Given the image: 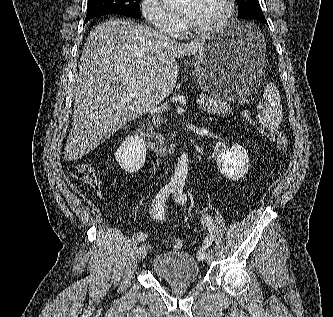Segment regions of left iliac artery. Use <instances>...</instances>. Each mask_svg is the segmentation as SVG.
<instances>
[{
	"instance_id": "44dca946",
	"label": "left iliac artery",
	"mask_w": 333,
	"mask_h": 317,
	"mask_svg": "<svg viewBox=\"0 0 333 317\" xmlns=\"http://www.w3.org/2000/svg\"><path fill=\"white\" fill-rule=\"evenodd\" d=\"M174 197H175L176 202H178L180 204L186 203L187 196L183 192V184H178V185L175 186ZM202 219H203L205 225L207 226L209 232L207 234V237L205 238L203 248L200 249L198 251V253H197V257H198L199 260H203L205 258L204 249L207 248L208 246H210L212 244L213 238H214V234H213V232H214L213 219L208 214H204L202 216ZM211 252H213V251L211 250Z\"/></svg>"
}]
</instances>
